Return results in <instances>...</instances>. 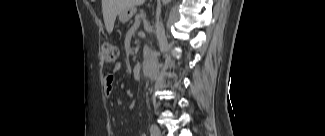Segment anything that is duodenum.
Instances as JSON below:
<instances>
[{
  "label": "duodenum",
  "instance_id": "duodenum-1",
  "mask_svg": "<svg viewBox=\"0 0 325 136\" xmlns=\"http://www.w3.org/2000/svg\"><path fill=\"white\" fill-rule=\"evenodd\" d=\"M142 73V65L140 63H137L132 68V74L134 78H139Z\"/></svg>",
  "mask_w": 325,
  "mask_h": 136
}]
</instances>
